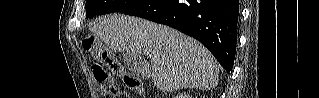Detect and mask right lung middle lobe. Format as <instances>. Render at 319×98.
Instances as JSON below:
<instances>
[{"label":"right lung middle lobe","instance_id":"obj_1","mask_svg":"<svg viewBox=\"0 0 319 98\" xmlns=\"http://www.w3.org/2000/svg\"><path fill=\"white\" fill-rule=\"evenodd\" d=\"M145 2L147 0H87L86 17L91 18L111 12H126Z\"/></svg>","mask_w":319,"mask_h":98}]
</instances>
